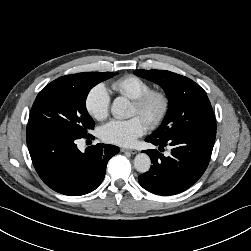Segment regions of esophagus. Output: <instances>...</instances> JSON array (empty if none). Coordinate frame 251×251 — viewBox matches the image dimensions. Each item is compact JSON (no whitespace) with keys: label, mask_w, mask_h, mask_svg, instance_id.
Returning <instances> with one entry per match:
<instances>
[{"label":"esophagus","mask_w":251,"mask_h":251,"mask_svg":"<svg viewBox=\"0 0 251 251\" xmlns=\"http://www.w3.org/2000/svg\"><path fill=\"white\" fill-rule=\"evenodd\" d=\"M120 151L123 152V153H130V154H136L137 153V151L135 149L121 148Z\"/></svg>","instance_id":"esophagus-1"}]
</instances>
